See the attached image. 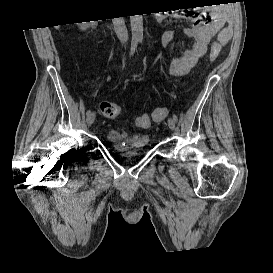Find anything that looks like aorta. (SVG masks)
Returning <instances> with one entry per match:
<instances>
[{
	"label": "aorta",
	"mask_w": 273,
	"mask_h": 273,
	"mask_svg": "<svg viewBox=\"0 0 273 273\" xmlns=\"http://www.w3.org/2000/svg\"><path fill=\"white\" fill-rule=\"evenodd\" d=\"M132 40L141 42L143 40V18L142 15L130 16Z\"/></svg>",
	"instance_id": "762f6f07"
}]
</instances>
